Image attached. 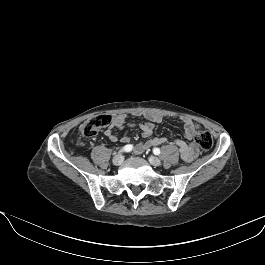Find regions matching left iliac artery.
<instances>
[{
    "mask_svg": "<svg viewBox=\"0 0 265 265\" xmlns=\"http://www.w3.org/2000/svg\"><path fill=\"white\" fill-rule=\"evenodd\" d=\"M153 153H154L155 155H159V154H160V149H159V148H154V149H153Z\"/></svg>",
    "mask_w": 265,
    "mask_h": 265,
    "instance_id": "44dca946",
    "label": "left iliac artery"
}]
</instances>
